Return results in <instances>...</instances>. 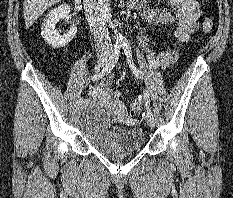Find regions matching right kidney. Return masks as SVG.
<instances>
[{"label": "right kidney", "instance_id": "ca27d5eb", "mask_svg": "<svg viewBox=\"0 0 233 198\" xmlns=\"http://www.w3.org/2000/svg\"><path fill=\"white\" fill-rule=\"evenodd\" d=\"M70 13L69 5H61L49 12L41 28L43 39L52 48L65 47L76 35L77 27L72 26L67 33L61 35L56 28L60 19L66 18Z\"/></svg>", "mask_w": 233, "mask_h": 198}]
</instances>
